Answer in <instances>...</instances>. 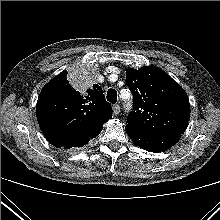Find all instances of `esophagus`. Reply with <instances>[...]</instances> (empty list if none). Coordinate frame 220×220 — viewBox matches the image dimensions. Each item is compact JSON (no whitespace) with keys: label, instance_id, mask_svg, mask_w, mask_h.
<instances>
[{"label":"esophagus","instance_id":"esophagus-1","mask_svg":"<svg viewBox=\"0 0 220 220\" xmlns=\"http://www.w3.org/2000/svg\"><path fill=\"white\" fill-rule=\"evenodd\" d=\"M112 108L114 115H118L120 113V106L118 104L114 105Z\"/></svg>","mask_w":220,"mask_h":220}]
</instances>
